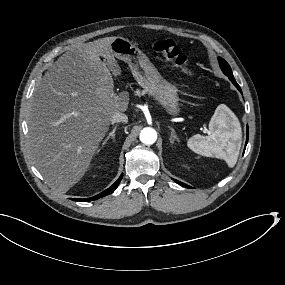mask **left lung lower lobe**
Masks as SVG:
<instances>
[{
    "label": "left lung lower lobe",
    "mask_w": 285,
    "mask_h": 285,
    "mask_svg": "<svg viewBox=\"0 0 285 285\" xmlns=\"http://www.w3.org/2000/svg\"><path fill=\"white\" fill-rule=\"evenodd\" d=\"M230 80H231L232 83L237 87V89L241 92V89H240L239 85L237 84V82L235 81L234 77H233L232 79H230ZM247 142H248V129H247V140H246V144H247ZM174 181H175L176 183H178V184H180V185L186 187V188H191L190 186H188V185H186V184H184V183H182V182H180V181H178V180H175V179H174Z\"/></svg>",
    "instance_id": "left-lung-lower-lobe-1"
}]
</instances>
